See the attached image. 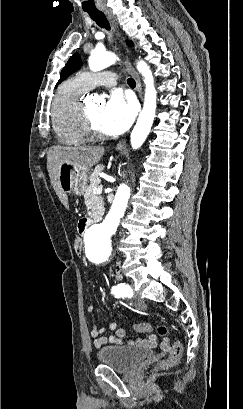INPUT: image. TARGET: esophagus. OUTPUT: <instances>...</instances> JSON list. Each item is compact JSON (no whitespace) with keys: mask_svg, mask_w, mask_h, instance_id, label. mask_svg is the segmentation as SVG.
<instances>
[{"mask_svg":"<svg viewBox=\"0 0 243 409\" xmlns=\"http://www.w3.org/2000/svg\"><path fill=\"white\" fill-rule=\"evenodd\" d=\"M105 13V15L107 16V18L112 21V15L110 14V12L108 10H104L103 11ZM115 28L117 29L116 25L114 24ZM117 37L119 39V42L122 43L123 39H122V35L120 33V31L117 29ZM124 64L126 66L127 71L133 76V78L136 81V89L139 95V98L142 99V85H141V81L140 78L137 74V72L134 70V68L132 67L131 63L129 62V60L127 58L124 59ZM126 143L125 140H121L120 142H118L116 148L121 150L125 147Z\"/></svg>","mask_w":243,"mask_h":409,"instance_id":"34e87169","label":"esophagus"}]
</instances>
